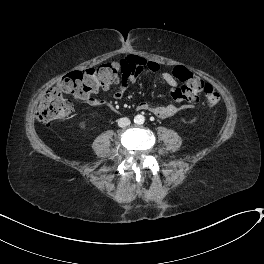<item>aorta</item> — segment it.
I'll return each mask as SVG.
<instances>
[{
    "label": "aorta",
    "instance_id": "aorta-1",
    "mask_svg": "<svg viewBox=\"0 0 264 264\" xmlns=\"http://www.w3.org/2000/svg\"><path fill=\"white\" fill-rule=\"evenodd\" d=\"M145 121V117L143 115H136L135 118H134V122L137 123V124H143Z\"/></svg>",
    "mask_w": 264,
    "mask_h": 264
}]
</instances>
